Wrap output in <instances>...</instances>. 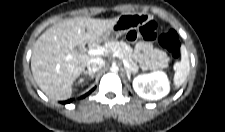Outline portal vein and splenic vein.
<instances>
[{
  "label": "portal vein and splenic vein",
  "mask_w": 225,
  "mask_h": 132,
  "mask_svg": "<svg viewBox=\"0 0 225 132\" xmlns=\"http://www.w3.org/2000/svg\"><path fill=\"white\" fill-rule=\"evenodd\" d=\"M105 53L106 51L104 49H90L88 51L90 55H104ZM118 56L121 58L125 68L130 69L129 63L121 55L118 54Z\"/></svg>",
  "instance_id": "obj_1"
}]
</instances>
